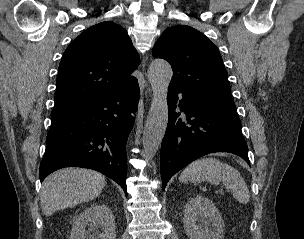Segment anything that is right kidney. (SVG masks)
I'll return each mask as SVG.
<instances>
[{"label": "right kidney", "mask_w": 304, "mask_h": 239, "mask_svg": "<svg viewBox=\"0 0 304 239\" xmlns=\"http://www.w3.org/2000/svg\"><path fill=\"white\" fill-rule=\"evenodd\" d=\"M71 239H116L115 220L110 208L95 204L77 215Z\"/></svg>", "instance_id": "1"}]
</instances>
